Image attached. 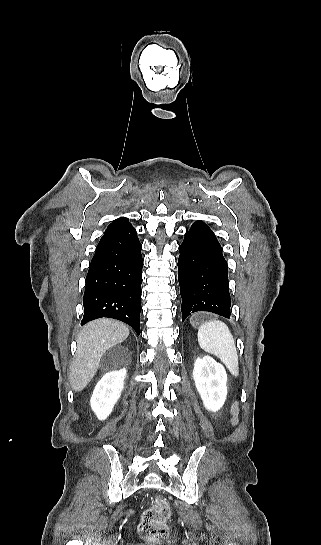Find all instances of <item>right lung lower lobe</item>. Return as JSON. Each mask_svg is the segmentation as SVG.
I'll list each match as a JSON object with an SVG mask.
<instances>
[{"label": "right lung lower lobe", "instance_id": "obj_1", "mask_svg": "<svg viewBox=\"0 0 321 545\" xmlns=\"http://www.w3.org/2000/svg\"><path fill=\"white\" fill-rule=\"evenodd\" d=\"M141 249L132 225L102 236L86 277L81 325L109 317L129 324L140 334Z\"/></svg>", "mask_w": 321, "mask_h": 545}]
</instances>
